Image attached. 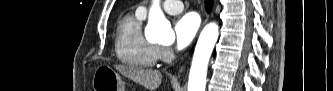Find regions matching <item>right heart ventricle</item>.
Wrapping results in <instances>:
<instances>
[{
    "mask_svg": "<svg viewBox=\"0 0 333 91\" xmlns=\"http://www.w3.org/2000/svg\"><path fill=\"white\" fill-rule=\"evenodd\" d=\"M144 15L136 11L126 15L117 26L115 50L118 59L129 67L145 69L153 67L158 60V47L142 34Z\"/></svg>",
    "mask_w": 333,
    "mask_h": 91,
    "instance_id": "right-heart-ventricle-1",
    "label": "right heart ventricle"
}]
</instances>
